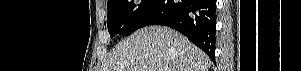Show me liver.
<instances>
[{
	"instance_id": "liver-1",
	"label": "liver",
	"mask_w": 301,
	"mask_h": 71,
	"mask_svg": "<svg viewBox=\"0 0 301 71\" xmlns=\"http://www.w3.org/2000/svg\"><path fill=\"white\" fill-rule=\"evenodd\" d=\"M209 57L179 32L147 26L119 42L101 71H208Z\"/></svg>"
}]
</instances>
